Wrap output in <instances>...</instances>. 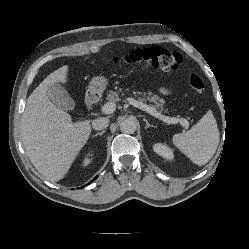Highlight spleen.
<instances>
[{
  "mask_svg": "<svg viewBox=\"0 0 249 249\" xmlns=\"http://www.w3.org/2000/svg\"><path fill=\"white\" fill-rule=\"evenodd\" d=\"M220 140L216 119L211 110L185 133L175 134L173 144L193 163L205 165L216 152Z\"/></svg>",
  "mask_w": 249,
  "mask_h": 249,
  "instance_id": "1",
  "label": "spleen"
}]
</instances>
